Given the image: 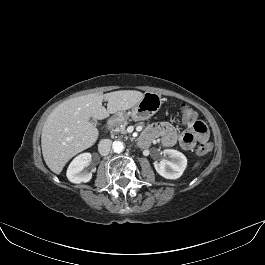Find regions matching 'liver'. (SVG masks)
<instances>
[{
    "label": "liver",
    "mask_w": 265,
    "mask_h": 265,
    "mask_svg": "<svg viewBox=\"0 0 265 265\" xmlns=\"http://www.w3.org/2000/svg\"><path fill=\"white\" fill-rule=\"evenodd\" d=\"M143 95L135 90L93 93L58 105L47 117L41 134L42 154L50 170L60 174L72 157L95 144L99 131L90 118L103 120L109 114L128 110ZM103 100L108 101L107 109L102 106Z\"/></svg>",
    "instance_id": "liver-1"
}]
</instances>
